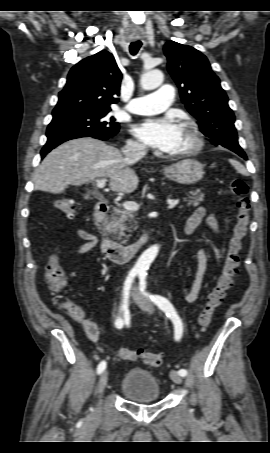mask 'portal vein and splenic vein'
<instances>
[{
    "mask_svg": "<svg viewBox=\"0 0 270 453\" xmlns=\"http://www.w3.org/2000/svg\"><path fill=\"white\" fill-rule=\"evenodd\" d=\"M96 185L98 188H104L106 185V179L103 178V179L96 180ZM179 201H180L179 199L170 201L168 208L169 209L174 208L175 206H177L179 204ZM123 207L129 211H137L140 206L135 202H125L123 204Z\"/></svg>",
    "mask_w": 270,
    "mask_h": 453,
    "instance_id": "obj_1",
    "label": "portal vein and splenic vein"
}]
</instances>
